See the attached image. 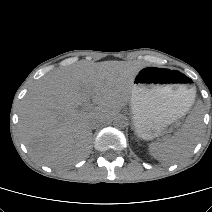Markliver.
<instances>
[{
    "mask_svg": "<svg viewBox=\"0 0 212 212\" xmlns=\"http://www.w3.org/2000/svg\"><path fill=\"white\" fill-rule=\"evenodd\" d=\"M141 68L124 61L81 62L41 78L19 112V135L32 157L52 167L87 157L94 121L109 120L127 105ZM89 99L95 106L79 111Z\"/></svg>",
    "mask_w": 212,
    "mask_h": 212,
    "instance_id": "liver-1",
    "label": "liver"
}]
</instances>
